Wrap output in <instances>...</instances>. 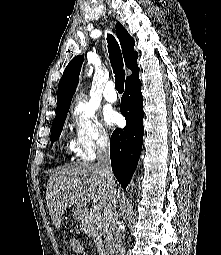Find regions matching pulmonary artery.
Listing matches in <instances>:
<instances>
[{"instance_id":"obj_1","label":"pulmonary artery","mask_w":221,"mask_h":255,"mask_svg":"<svg viewBox=\"0 0 221 255\" xmlns=\"http://www.w3.org/2000/svg\"><path fill=\"white\" fill-rule=\"evenodd\" d=\"M104 98L108 102H115L117 100V93L115 90V85L112 81H108L104 86Z\"/></svg>"}]
</instances>
